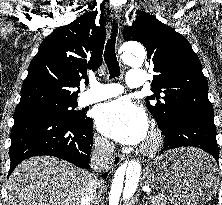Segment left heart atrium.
<instances>
[{
  "mask_svg": "<svg viewBox=\"0 0 222 205\" xmlns=\"http://www.w3.org/2000/svg\"><path fill=\"white\" fill-rule=\"evenodd\" d=\"M99 130L123 144L142 142L148 133V119L144 110L128 98H119L101 105L96 113Z\"/></svg>",
  "mask_w": 222,
  "mask_h": 205,
  "instance_id": "39dd6f15",
  "label": "left heart atrium"
}]
</instances>
